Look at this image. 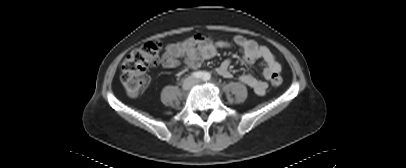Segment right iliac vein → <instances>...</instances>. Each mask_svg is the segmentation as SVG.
Masks as SVG:
<instances>
[{"mask_svg":"<svg viewBox=\"0 0 406 168\" xmlns=\"http://www.w3.org/2000/svg\"><path fill=\"white\" fill-rule=\"evenodd\" d=\"M192 85H193V80H192V78H187V79L183 82L182 88H183V90L187 91V90H189V89L192 87Z\"/></svg>","mask_w":406,"mask_h":168,"instance_id":"right-iliac-vein-1","label":"right iliac vein"}]
</instances>
